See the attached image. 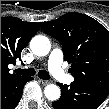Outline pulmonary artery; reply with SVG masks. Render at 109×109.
Masks as SVG:
<instances>
[{"label": "pulmonary artery", "instance_id": "obj_1", "mask_svg": "<svg viewBox=\"0 0 109 109\" xmlns=\"http://www.w3.org/2000/svg\"><path fill=\"white\" fill-rule=\"evenodd\" d=\"M63 53L60 48H55L51 51L47 61V68L50 74L62 83H71L73 77L67 75L63 69Z\"/></svg>", "mask_w": 109, "mask_h": 109}]
</instances>
